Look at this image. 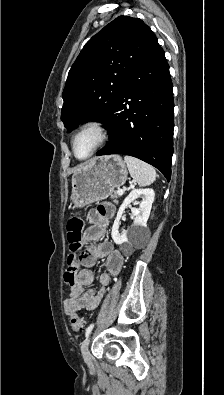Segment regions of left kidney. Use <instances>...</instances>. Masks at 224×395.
<instances>
[{"instance_id": "1", "label": "left kidney", "mask_w": 224, "mask_h": 395, "mask_svg": "<svg viewBox=\"0 0 224 395\" xmlns=\"http://www.w3.org/2000/svg\"><path fill=\"white\" fill-rule=\"evenodd\" d=\"M141 197L140 208H131L132 215L134 217L133 225L123 232H119L120 219L125 209L130 205L131 202ZM155 193L153 189H133L130 194L125 198L123 204L120 206L117 217L112 227V239L118 245H121L128 241V238L137 239L144 233V229L147 225V220L150 215L152 203L154 201Z\"/></svg>"}]
</instances>
